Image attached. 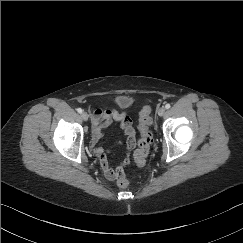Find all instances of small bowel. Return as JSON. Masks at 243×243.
<instances>
[{
	"label": "small bowel",
	"instance_id": "obj_1",
	"mask_svg": "<svg viewBox=\"0 0 243 243\" xmlns=\"http://www.w3.org/2000/svg\"><path fill=\"white\" fill-rule=\"evenodd\" d=\"M112 123H118L123 130L126 144V154L124 160L119 165L112 167L109 161L108 152L98 145L103 136L104 129ZM136 145L135 130L132 119L125 112L116 108L96 109L92 113V134L91 148L99 160L100 168L106 179L117 182L125 175V166L129 164L133 150Z\"/></svg>",
	"mask_w": 243,
	"mask_h": 243
}]
</instances>
